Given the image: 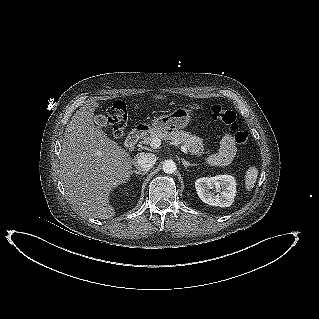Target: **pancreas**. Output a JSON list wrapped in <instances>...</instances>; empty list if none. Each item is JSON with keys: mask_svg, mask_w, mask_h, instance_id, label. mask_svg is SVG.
<instances>
[{"mask_svg": "<svg viewBox=\"0 0 319 319\" xmlns=\"http://www.w3.org/2000/svg\"><path fill=\"white\" fill-rule=\"evenodd\" d=\"M150 136L143 138V144H150L154 138L160 140L171 141L174 144H183L193 155L201 156L204 152L203 139L195 135H191L186 131H151Z\"/></svg>", "mask_w": 319, "mask_h": 319, "instance_id": "pancreas-1", "label": "pancreas"}]
</instances>
